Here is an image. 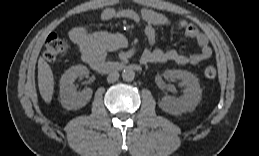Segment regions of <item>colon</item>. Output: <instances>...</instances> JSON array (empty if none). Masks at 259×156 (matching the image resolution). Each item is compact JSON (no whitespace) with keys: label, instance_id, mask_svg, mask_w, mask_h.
<instances>
[{"label":"colon","instance_id":"obj_1","mask_svg":"<svg viewBox=\"0 0 259 156\" xmlns=\"http://www.w3.org/2000/svg\"><path fill=\"white\" fill-rule=\"evenodd\" d=\"M69 51V43L67 40L58 37L56 34H50L46 40L44 48V58L48 62H55L63 58ZM203 75L207 79L216 77V69L212 65H208L203 70Z\"/></svg>","mask_w":259,"mask_h":156}]
</instances>
